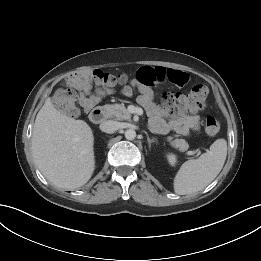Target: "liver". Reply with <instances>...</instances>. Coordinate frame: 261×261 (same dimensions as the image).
Returning a JSON list of instances; mask_svg holds the SVG:
<instances>
[{"label": "liver", "mask_w": 261, "mask_h": 261, "mask_svg": "<svg viewBox=\"0 0 261 261\" xmlns=\"http://www.w3.org/2000/svg\"><path fill=\"white\" fill-rule=\"evenodd\" d=\"M31 144L35 164L53 185L75 189L90 180L95 169L92 129L62 114L50 98L36 116Z\"/></svg>", "instance_id": "1"}]
</instances>
